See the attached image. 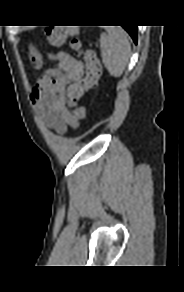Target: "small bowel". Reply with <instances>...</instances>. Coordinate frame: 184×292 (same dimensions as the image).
I'll list each match as a JSON object with an SVG mask.
<instances>
[{
	"mask_svg": "<svg viewBox=\"0 0 184 292\" xmlns=\"http://www.w3.org/2000/svg\"><path fill=\"white\" fill-rule=\"evenodd\" d=\"M46 56L54 67L38 78L31 98L47 126L64 134L68 128L78 126V119L65 107V92L68 86L82 78L84 66L63 51L47 53ZM31 58L35 67L42 66L40 53L34 51Z\"/></svg>",
	"mask_w": 184,
	"mask_h": 292,
	"instance_id": "c3829d8e",
	"label": "small bowel"
}]
</instances>
